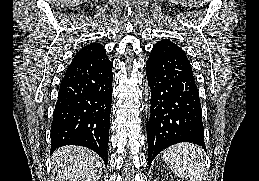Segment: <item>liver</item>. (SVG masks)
Returning a JSON list of instances; mask_svg holds the SVG:
<instances>
[{
  "label": "liver",
  "instance_id": "1",
  "mask_svg": "<svg viewBox=\"0 0 259 181\" xmlns=\"http://www.w3.org/2000/svg\"><path fill=\"white\" fill-rule=\"evenodd\" d=\"M53 158L55 181H98L101 177L102 159L85 147H62Z\"/></svg>",
  "mask_w": 259,
  "mask_h": 181
}]
</instances>
